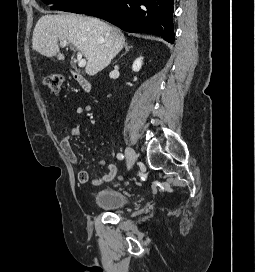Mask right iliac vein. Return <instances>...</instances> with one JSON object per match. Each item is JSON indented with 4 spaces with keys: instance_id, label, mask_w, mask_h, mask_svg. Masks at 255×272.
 I'll list each match as a JSON object with an SVG mask.
<instances>
[{
    "instance_id": "obj_1",
    "label": "right iliac vein",
    "mask_w": 255,
    "mask_h": 272,
    "mask_svg": "<svg viewBox=\"0 0 255 272\" xmlns=\"http://www.w3.org/2000/svg\"><path fill=\"white\" fill-rule=\"evenodd\" d=\"M125 154H126V159H127V167H128V169H131L132 166L134 165L135 161L137 160V154L130 147L126 148Z\"/></svg>"
}]
</instances>
